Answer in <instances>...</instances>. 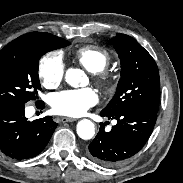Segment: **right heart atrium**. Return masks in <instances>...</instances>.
Returning <instances> with one entry per match:
<instances>
[{"label": "right heart atrium", "mask_w": 183, "mask_h": 183, "mask_svg": "<svg viewBox=\"0 0 183 183\" xmlns=\"http://www.w3.org/2000/svg\"><path fill=\"white\" fill-rule=\"evenodd\" d=\"M38 76L46 88L59 86L64 77V62L61 55L57 52L45 54L38 64Z\"/></svg>", "instance_id": "obj_1"}]
</instances>
